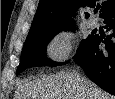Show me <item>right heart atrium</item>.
I'll return each instance as SVG.
<instances>
[{
  "mask_svg": "<svg viewBox=\"0 0 115 99\" xmlns=\"http://www.w3.org/2000/svg\"><path fill=\"white\" fill-rule=\"evenodd\" d=\"M76 50L75 35L69 30L54 33L45 45V53L53 63H62L74 54Z\"/></svg>",
  "mask_w": 115,
  "mask_h": 99,
  "instance_id": "right-heart-atrium-1",
  "label": "right heart atrium"
}]
</instances>
